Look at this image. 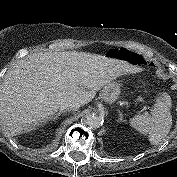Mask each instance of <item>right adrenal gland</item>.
Wrapping results in <instances>:
<instances>
[{
  "mask_svg": "<svg viewBox=\"0 0 177 177\" xmlns=\"http://www.w3.org/2000/svg\"><path fill=\"white\" fill-rule=\"evenodd\" d=\"M63 112L62 111H59L57 114H55L54 116H51L47 119V121H56L59 116L62 114Z\"/></svg>",
  "mask_w": 177,
  "mask_h": 177,
  "instance_id": "2a0ac1e0",
  "label": "right adrenal gland"
}]
</instances>
